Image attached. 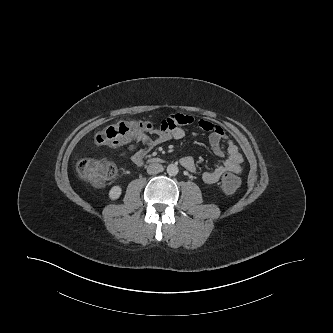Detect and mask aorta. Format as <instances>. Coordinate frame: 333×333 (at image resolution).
Here are the masks:
<instances>
[{"label": "aorta", "mask_w": 333, "mask_h": 333, "mask_svg": "<svg viewBox=\"0 0 333 333\" xmlns=\"http://www.w3.org/2000/svg\"><path fill=\"white\" fill-rule=\"evenodd\" d=\"M178 166L176 164H169L167 166V173L169 176H176L178 174Z\"/></svg>", "instance_id": "aorta-1"}]
</instances>
